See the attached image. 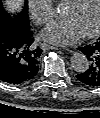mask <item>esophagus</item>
<instances>
[{
  "label": "esophagus",
  "instance_id": "34e87169",
  "mask_svg": "<svg viewBox=\"0 0 100 118\" xmlns=\"http://www.w3.org/2000/svg\"><path fill=\"white\" fill-rule=\"evenodd\" d=\"M40 48L42 49V50H55V49H57V47H55V46H52V45H49V44H47V43H41L40 44ZM68 51H70V49H67Z\"/></svg>",
  "mask_w": 100,
  "mask_h": 118
}]
</instances>
